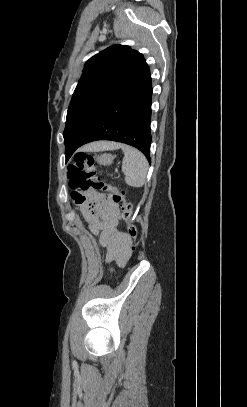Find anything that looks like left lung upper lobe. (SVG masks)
<instances>
[{
	"label": "left lung upper lobe",
	"instance_id": "5c2ea615",
	"mask_svg": "<svg viewBox=\"0 0 247 407\" xmlns=\"http://www.w3.org/2000/svg\"><path fill=\"white\" fill-rule=\"evenodd\" d=\"M147 67L143 55L125 45L109 47L86 62L67 111L66 161L111 101Z\"/></svg>",
	"mask_w": 247,
	"mask_h": 407
}]
</instances>
